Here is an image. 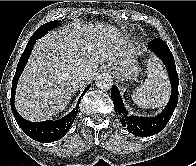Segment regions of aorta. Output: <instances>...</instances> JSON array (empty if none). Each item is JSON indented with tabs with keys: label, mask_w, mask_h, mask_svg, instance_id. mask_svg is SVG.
<instances>
[{
	"label": "aorta",
	"mask_w": 196,
	"mask_h": 166,
	"mask_svg": "<svg viewBox=\"0 0 196 166\" xmlns=\"http://www.w3.org/2000/svg\"><path fill=\"white\" fill-rule=\"evenodd\" d=\"M95 84L101 90L110 89L113 85V78L108 73H102L97 76Z\"/></svg>",
	"instance_id": "762f6f07"
}]
</instances>
